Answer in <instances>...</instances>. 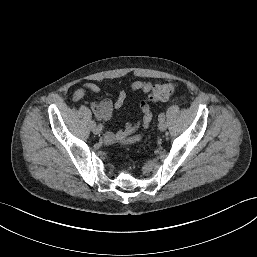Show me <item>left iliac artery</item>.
<instances>
[{"label":"left iliac artery","instance_id":"44dca946","mask_svg":"<svg viewBox=\"0 0 257 257\" xmlns=\"http://www.w3.org/2000/svg\"><path fill=\"white\" fill-rule=\"evenodd\" d=\"M158 120H159V121H164V120H165V113H164V112H162V113L159 114Z\"/></svg>","mask_w":257,"mask_h":257}]
</instances>
